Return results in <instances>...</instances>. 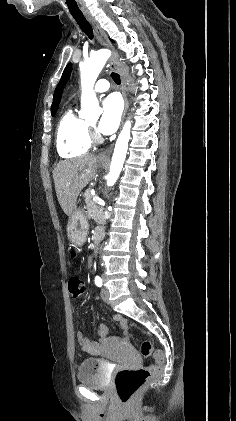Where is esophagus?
<instances>
[{"mask_svg": "<svg viewBox=\"0 0 236 421\" xmlns=\"http://www.w3.org/2000/svg\"><path fill=\"white\" fill-rule=\"evenodd\" d=\"M85 18L88 20V22L93 27L96 38L99 41V43L103 47L112 48V44L108 40L104 30H102L99 23L92 16L86 15ZM117 59H118L117 53L115 51H113L108 62H109L110 68L112 70H115V71L119 72V75L121 77V87H120V89H121V93H122L123 99H124V110H123L122 121H121V126H122L123 123H124V119H125V115H126V111H127L128 100H127V95H126V92H125V84H126L125 78H124V75H123L122 71L117 66ZM113 146L114 145L112 144L111 146H109V148H107L106 150L99 153L98 160L109 161L111 153L113 151Z\"/></svg>", "mask_w": 236, "mask_h": 421, "instance_id": "1", "label": "esophagus"}]
</instances>
